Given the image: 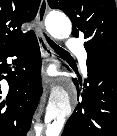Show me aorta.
Masks as SVG:
<instances>
[{
    "mask_svg": "<svg viewBox=\"0 0 117 136\" xmlns=\"http://www.w3.org/2000/svg\"><path fill=\"white\" fill-rule=\"evenodd\" d=\"M46 29L49 34L57 39L68 38L72 25L68 17L61 13H51L46 20ZM69 92L63 88H54L46 108L45 123L63 120L71 113Z\"/></svg>",
    "mask_w": 117,
    "mask_h": 136,
    "instance_id": "obj_1",
    "label": "aorta"
}]
</instances>
